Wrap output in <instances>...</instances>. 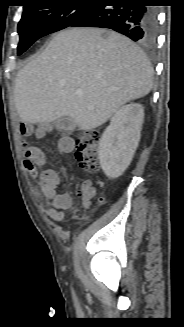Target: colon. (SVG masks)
Wrapping results in <instances>:
<instances>
[{"label": "colon", "instance_id": "1", "mask_svg": "<svg viewBox=\"0 0 184 327\" xmlns=\"http://www.w3.org/2000/svg\"><path fill=\"white\" fill-rule=\"evenodd\" d=\"M21 127H24V125L22 124ZM99 141L100 135L94 130L86 131L76 139V159L82 168L87 170L97 168ZM23 147H25V144H23ZM80 194L83 197H92L94 189L90 184L86 183L82 186Z\"/></svg>", "mask_w": 184, "mask_h": 327}]
</instances>
